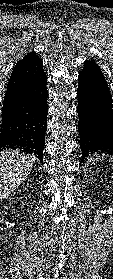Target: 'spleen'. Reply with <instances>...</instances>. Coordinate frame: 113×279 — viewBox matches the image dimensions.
Here are the masks:
<instances>
[{
  "label": "spleen",
  "instance_id": "spleen-1",
  "mask_svg": "<svg viewBox=\"0 0 113 279\" xmlns=\"http://www.w3.org/2000/svg\"><path fill=\"white\" fill-rule=\"evenodd\" d=\"M95 158L96 159H104V155H96Z\"/></svg>",
  "mask_w": 113,
  "mask_h": 279
}]
</instances>
